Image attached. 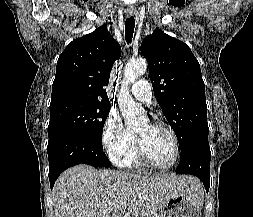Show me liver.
Instances as JSON below:
<instances>
[{
  "label": "liver",
  "instance_id": "obj_1",
  "mask_svg": "<svg viewBox=\"0 0 253 217\" xmlns=\"http://www.w3.org/2000/svg\"><path fill=\"white\" fill-rule=\"evenodd\" d=\"M188 194L201 200L203 186L193 176H147L97 170L80 164L63 172L52 190L55 217H153L169 199Z\"/></svg>",
  "mask_w": 253,
  "mask_h": 217
}]
</instances>
